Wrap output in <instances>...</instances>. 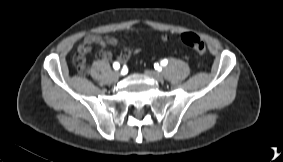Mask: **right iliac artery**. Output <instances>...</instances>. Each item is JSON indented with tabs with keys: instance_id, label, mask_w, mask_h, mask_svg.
<instances>
[{
	"instance_id": "right-iliac-artery-1",
	"label": "right iliac artery",
	"mask_w": 283,
	"mask_h": 162,
	"mask_svg": "<svg viewBox=\"0 0 283 162\" xmlns=\"http://www.w3.org/2000/svg\"><path fill=\"white\" fill-rule=\"evenodd\" d=\"M113 68H114L115 70H118V69L120 68V64H119L118 62H114V63H113Z\"/></svg>"
}]
</instances>
